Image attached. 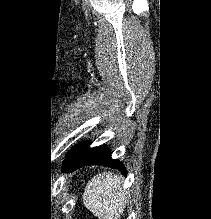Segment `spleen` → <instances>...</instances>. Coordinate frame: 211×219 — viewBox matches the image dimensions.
<instances>
[{"mask_svg": "<svg viewBox=\"0 0 211 219\" xmlns=\"http://www.w3.org/2000/svg\"><path fill=\"white\" fill-rule=\"evenodd\" d=\"M118 175L103 173L86 185L83 203L99 219H118L125 208L126 193Z\"/></svg>", "mask_w": 211, "mask_h": 219, "instance_id": "1", "label": "spleen"}]
</instances>
